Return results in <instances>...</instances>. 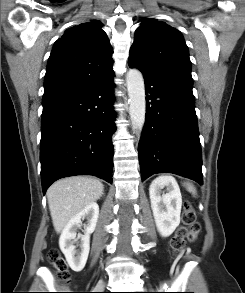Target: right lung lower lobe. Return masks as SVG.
Segmentation results:
<instances>
[{
    "instance_id": "obj_1",
    "label": "right lung lower lobe",
    "mask_w": 245,
    "mask_h": 293,
    "mask_svg": "<svg viewBox=\"0 0 245 293\" xmlns=\"http://www.w3.org/2000/svg\"><path fill=\"white\" fill-rule=\"evenodd\" d=\"M113 75L61 102L43 108L41 179L45 193L56 180L93 175L112 183Z\"/></svg>"
}]
</instances>
